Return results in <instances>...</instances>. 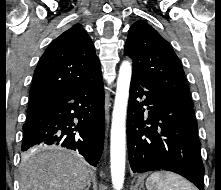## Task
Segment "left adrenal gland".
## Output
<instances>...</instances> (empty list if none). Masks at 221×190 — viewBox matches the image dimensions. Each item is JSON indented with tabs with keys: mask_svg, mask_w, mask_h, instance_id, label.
Masks as SVG:
<instances>
[{
	"mask_svg": "<svg viewBox=\"0 0 221 190\" xmlns=\"http://www.w3.org/2000/svg\"><path fill=\"white\" fill-rule=\"evenodd\" d=\"M141 188H142L143 190H145L143 183L140 184V186H139V190H141Z\"/></svg>",
	"mask_w": 221,
	"mask_h": 190,
	"instance_id": "left-adrenal-gland-1",
	"label": "left adrenal gland"
}]
</instances>
